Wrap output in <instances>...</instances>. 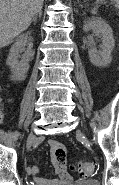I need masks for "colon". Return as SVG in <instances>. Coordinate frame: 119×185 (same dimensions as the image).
Returning a JSON list of instances; mask_svg holds the SVG:
<instances>
[{
    "label": "colon",
    "instance_id": "colon-1",
    "mask_svg": "<svg viewBox=\"0 0 119 185\" xmlns=\"http://www.w3.org/2000/svg\"><path fill=\"white\" fill-rule=\"evenodd\" d=\"M76 169L80 176L87 177L92 174L94 170V165L92 162H83V163H79L76 166Z\"/></svg>",
    "mask_w": 119,
    "mask_h": 185
}]
</instances>
